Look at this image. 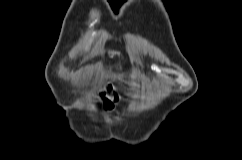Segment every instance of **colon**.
Masks as SVG:
<instances>
[{
	"mask_svg": "<svg viewBox=\"0 0 242 160\" xmlns=\"http://www.w3.org/2000/svg\"><path fill=\"white\" fill-rule=\"evenodd\" d=\"M119 101V95L115 85H109L102 93V103L105 108L110 109Z\"/></svg>",
	"mask_w": 242,
	"mask_h": 160,
	"instance_id": "5ec220e1",
	"label": "colon"
}]
</instances>
